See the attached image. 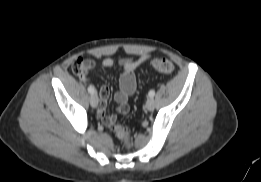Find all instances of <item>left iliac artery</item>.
I'll list each match as a JSON object with an SVG mask.
<instances>
[{
    "label": "left iliac artery",
    "mask_w": 261,
    "mask_h": 182,
    "mask_svg": "<svg viewBox=\"0 0 261 182\" xmlns=\"http://www.w3.org/2000/svg\"><path fill=\"white\" fill-rule=\"evenodd\" d=\"M155 95V91L154 90H150L149 91V97H154Z\"/></svg>",
    "instance_id": "obj_1"
}]
</instances>
